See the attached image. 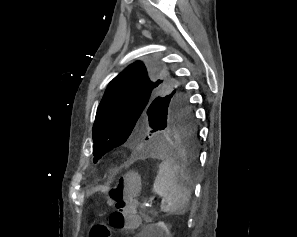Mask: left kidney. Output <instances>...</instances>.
<instances>
[{"mask_svg":"<svg viewBox=\"0 0 297 237\" xmlns=\"http://www.w3.org/2000/svg\"><path fill=\"white\" fill-rule=\"evenodd\" d=\"M154 237H169L170 232L164 222H158L153 225Z\"/></svg>","mask_w":297,"mask_h":237,"instance_id":"obj_1","label":"left kidney"}]
</instances>
